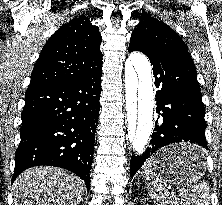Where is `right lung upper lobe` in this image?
Returning <instances> with one entry per match:
<instances>
[{"instance_id": "obj_1", "label": "right lung upper lobe", "mask_w": 222, "mask_h": 205, "mask_svg": "<svg viewBox=\"0 0 222 205\" xmlns=\"http://www.w3.org/2000/svg\"><path fill=\"white\" fill-rule=\"evenodd\" d=\"M101 41L98 27L88 17L70 20L45 44L28 88L78 80L101 69Z\"/></svg>"}]
</instances>
